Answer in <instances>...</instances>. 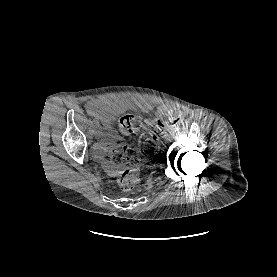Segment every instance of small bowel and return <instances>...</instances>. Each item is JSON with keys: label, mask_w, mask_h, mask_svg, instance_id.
<instances>
[{"label": "small bowel", "mask_w": 277, "mask_h": 277, "mask_svg": "<svg viewBox=\"0 0 277 277\" xmlns=\"http://www.w3.org/2000/svg\"><path fill=\"white\" fill-rule=\"evenodd\" d=\"M123 103L120 101H111L108 99H92L87 102L86 109L89 115L94 119L95 124L97 127L103 129L102 132L103 136H109L111 134V126L112 121L115 117V115L122 109ZM139 107L142 111H148L153 108H156L158 114H166L169 113L172 110V108L168 105H159V106H153L149 103H139ZM152 121L149 120V123ZM97 150L104 154V143L100 142ZM104 166L106 170L111 173L115 174L114 164H112L109 161H106L104 163Z\"/></svg>", "instance_id": "1"}]
</instances>
